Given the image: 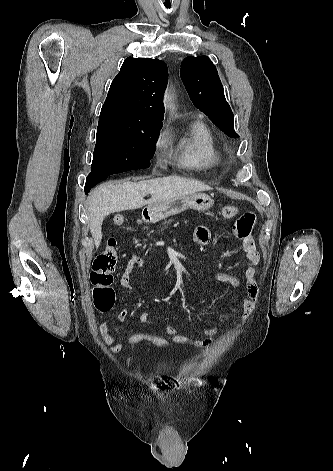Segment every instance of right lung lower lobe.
I'll use <instances>...</instances> for the list:
<instances>
[{
  "instance_id": "right-lung-lower-lobe-1",
  "label": "right lung lower lobe",
  "mask_w": 333,
  "mask_h": 471,
  "mask_svg": "<svg viewBox=\"0 0 333 471\" xmlns=\"http://www.w3.org/2000/svg\"><path fill=\"white\" fill-rule=\"evenodd\" d=\"M108 177L109 176H95V175L89 174L85 183V193L87 194L91 190L92 187L97 185L99 182L107 179Z\"/></svg>"
}]
</instances>
